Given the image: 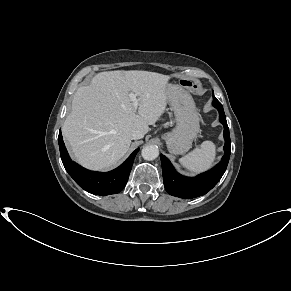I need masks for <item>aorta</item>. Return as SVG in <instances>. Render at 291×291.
Listing matches in <instances>:
<instances>
[{"mask_svg": "<svg viewBox=\"0 0 291 291\" xmlns=\"http://www.w3.org/2000/svg\"><path fill=\"white\" fill-rule=\"evenodd\" d=\"M141 155L145 160L151 161V160H154L158 157L159 150L154 145H147V146L143 147V149L141 151Z\"/></svg>", "mask_w": 291, "mask_h": 291, "instance_id": "obj_1", "label": "aorta"}]
</instances>
